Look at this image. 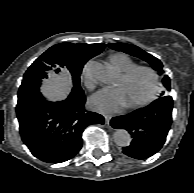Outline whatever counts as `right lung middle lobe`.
<instances>
[{"mask_svg": "<svg viewBox=\"0 0 194 193\" xmlns=\"http://www.w3.org/2000/svg\"><path fill=\"white\" fill-rule=\"evenodd\" d=\"M68 70L73 77V89L70 95L82 94L83 90L80 87V74L82 71V66L69 67ZM44 78L47 77L42 76L32 70H29L28 68V70L24 74L22 84L19 88L18 103L42 98L41 93L39 91V86L41 84L42 79Z\"/></svg>", "mask_w": 194, "mask_h": 193, "instance_id": "obj_1", "label": "right lung middle lobe"}]
</instances>
